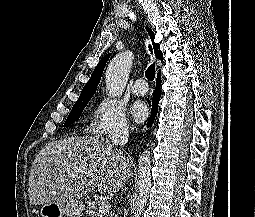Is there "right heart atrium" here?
Returning a JSON list of instances; mask_svg holds the SVG:
<instances>
[{"instance_id": "1", "label": "right heart atrium", "mask_w": 255, "mask_h": 217, "mask_svg": "<svg viewBox=\"0 0 255 217\" xmlns=\"http://www.w3.org/2000/svg\"><path fill=\"white\" fill-rule=\"evenodd\" d=\"M128 128L124 105L118 100L104 97L96 104L86 130L93 135L114 136L126 134Z\"/></svg>"}]
</instances>
